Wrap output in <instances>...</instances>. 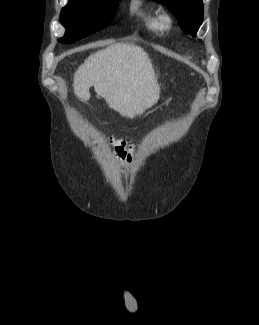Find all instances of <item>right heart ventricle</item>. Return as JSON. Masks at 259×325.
<instances>
[{"label":"right heart ventricle","mask_w":259,"mask_h":325,"mask_svg":"<svg viewBox=\"0 0 259 325\" xmlns=\"http://www.w3.org/2000/svg\"><path fill=\"white\" fill-rule=\"evenodd\" d=\"M132 9L149 30L161 31L163 29L159 21V9L157 6L144 0H134Z\"/></svg>","instance_id":"e07e8e85"}]
</instances>
